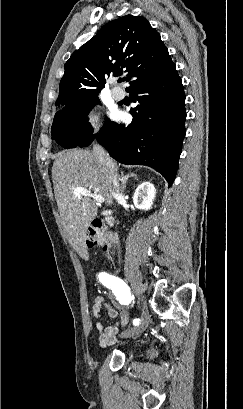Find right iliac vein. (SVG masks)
Returning a JSON list of instances; mask_svg holds the SVG:
<instances>
[{
    "label": "right iliac vein",
    "instance_id": "obj_1",
    "mask_svg": "<svg viewBox=\"0 0 243 409\" xmlns=\"http://www.w3.org/2000/svg\"><path fill=\"white\" fill-rule=\"evenodd\" d=\"M149 324V315L147 310L144 308L141 316V322L133 328H130L122 333V337H132L137 336L144 332Z\"/></svg>",
    "mask_w": 243,
    "mask_h": 409
}]
</instances>
